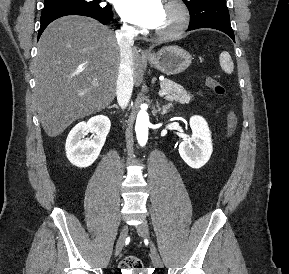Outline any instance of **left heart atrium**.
Masks as SVG:
<instances>
[{
  "mask_svg": "<svg viewBox=\"0 0 289 274\" xmlns=\"http://www.w3.org/2000/svg\"><path fill=\"white\" fill-rule=\"evenodd\" d=\"M120 15L127 21L146 28H156L162 18L161 0H118Z\"/></svg>",
  "mask_w": 289,
  "mask_h": 274,
  "instance_id": "obj_1",
  "label": "left heart atrium"
}]
</instances>
